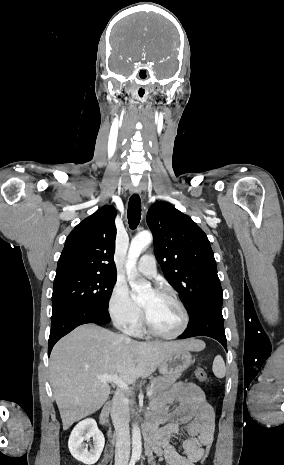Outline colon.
<instances>
[{
	"label": "colon",
	"instance_id": "obj_1",
	"mask_svg": "<svg viewBox=\"0 0 284 465\" xmlns=\"http://www.w3.org/2000/svg\"><path fill=\"white\" fill-rule=\"evenodd\" d=\"M194 373H195V377H196L197 380H199V381H206L207 380V373L203 368H201V367L196 368ZM204 450H205V456L202 457L201 460H202V462L205 463L208 460L207 458L210 457V454H211V452L213 450V445L211 443H206L204 445Z\"/></svg>",
	"mask_w": 284,
	"mask_h": 465
}]
</instances>
